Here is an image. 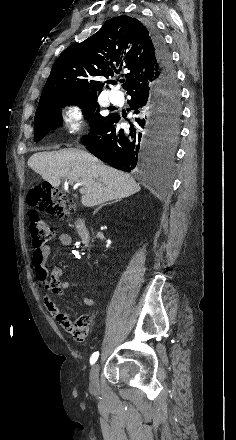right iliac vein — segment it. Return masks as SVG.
I'll return each instance as SVG.
<instances>
[{
    "label": "right iliac vein",
    "mask_w": 236,
    "mask_h": 440,
    "mask_svg": "<svg viewBox=\"0 0 236 440\" xmlns=\"http://www.w3.org/2000/svg\"><path fill=\"white\" fill-rule=\"evenodd\" d=\"M98 374H99V364L96 363L91 368L90 376H89L90 388L94 391L98 390L99 388Z\"/></svg>",
    "instance_id": "right-iliac-vein-1"
}]
</instances>
